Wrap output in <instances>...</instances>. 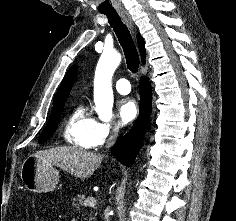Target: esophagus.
Instances as JSON below:
<instances>
[{"label":"esophagus","instance_id":"obj_1","mask_svg":"<svg viewBox=\"0 0 236 221\" xmlns=\"http://www.w3.org/2000/svg\"><path fill=\"white\" fill-rule=\"evenodd\" d=\"M118 13L123 18V20L127 23V25L133 30V24H132V20L129 13L123 9L119 10Z\"/></svg>","mask_w":236,"mask_h":221}]
</instances>
